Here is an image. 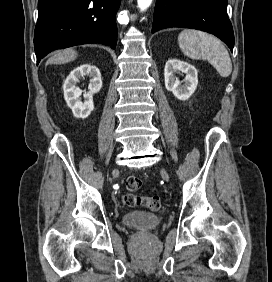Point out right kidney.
Masks as SVG:
<instances>
[{
	"label": "right kidney",
	"mask_w": 272,
	"mask_h": 282,
	"mask_svg": "<svg viewBox=\"0 0 272 282\" xmlns=\"http://www.w3.org/2000/svg\"><path fill=\"white\" fill-rule=\"evenodd\" d=\"M90 78L89 91L84 93V102L81 101L82 90L76 84L81 77ZM102 88V79L99 69L89 64L74 68L63 84L64 98L71 108L74 117L87 118L94 110L93 95Z\"/></svg>",
	"instance_id": "right-kidney-1"
}]
</instances>
